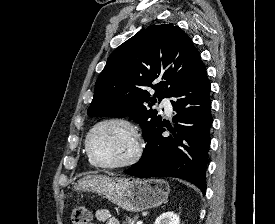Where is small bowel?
<instances>
[{"label": "small bowel", "instance_id": "1", "mask_svg": "<svg viewBox=\"0 0 275 224\" xmlns=\"http://www.w3.org/2000/svg\"><path fill=\"white\" fill-rule=\"evenodd\" d=\"M96 218L103 224H120L119 220L115 217H111L107 210H98L96 212Z\"/></svg>", "mask_w": 275, "mask_h": 224}]
</instances>
